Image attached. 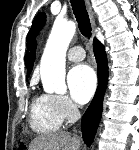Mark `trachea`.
<instances>
[{
  "mask_svg": "<svg viewBox=\"0 0 139 150\" xmlns=\"http://www.w3.org/2000/svg\"><path fill=\"white\" fill-rule=\"evenodd\" d=\"M70 3L73 8L76 20L78 22V27L81 34L84 37L89 38L91 36L92 28L84 0H70Z\"/></svg>",
  "mask_w": 139,
  "mask_h": 150,
  "instance_id": "obj_1",
  "label": "trachea"
}]
</instances>
